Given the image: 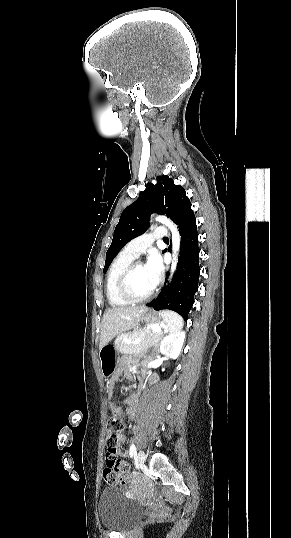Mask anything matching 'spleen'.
<instances>
[{"label":"spleen","mask_w":291,"mask_h":538,"mask_svg":"<svg viewBox=\"0 0 291 538\" xmlns=\"http://www.w3.org/2000/svg\"><path fill=\"white\" fill-rule=\"evenodd\" d=\"M160 314L164 318L170 332H178L182 329L183 319L179 314L170 310H164Z\"/></svg>","instance_id":"obj_1"}]
</instances>
